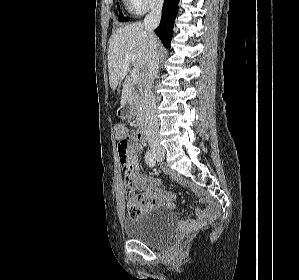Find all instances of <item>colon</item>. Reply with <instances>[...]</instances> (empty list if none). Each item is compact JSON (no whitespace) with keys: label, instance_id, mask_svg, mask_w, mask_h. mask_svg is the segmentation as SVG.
Returning a JSON list of instances; mask_svg holds the SVG:
<instances>
[{"label":"colon","instance_id":"obj_1","mask_svg":"<svg viewBox=\"0 0 299 280\" xmlns=\"http://www.w3.org/2000/svg\"><path fill=\"white\" fill-rule=\"evenodd\" d=\"M116 138L118 143V155L120 163L123 168V172L127 173L130 169L129 164V149L132 143V137L130 131L119 125L115 129ZM126 200H127V211L128 214L132 217H139L144 212V206L138 201L136 195L132 190L128 189L126 191Z\"/></svg>","mask_w":299,"mask_h":280}]
</instances>
